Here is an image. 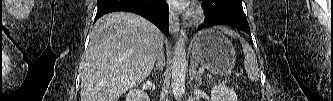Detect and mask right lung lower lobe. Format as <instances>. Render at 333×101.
Returning <instances> with one entry per match:
<instances>
[{
    "label": "right lung lower lobe",
    "mask_w": 333,
    "mask_h": 101,
    "mask_svg": "<svg viewBox=\"0 0 333 101\" xmlns=\"http://www.w3.org/2000/svg\"><path fill=\"white\" fill-rule=\"evenodd\" d=\"M97 4L94 22L104 14L126 11L145 17L162 32L169 33V11L166 0H97Z\"/></svg>",
    "instance_id": "1"
}]
</instances>
